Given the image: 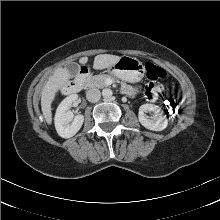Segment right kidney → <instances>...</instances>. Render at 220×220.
I'll return each mask as SVG.
<instances>
[{
	"mask_svg": "<svg viewBox=\"0 0 220 220\" xmlns=\"http://www.w3.org/2000/svg\"><path fill=\"white\" fill-rule=\"evenodd\" d=\"M78 99L77 94L66 97L58 106L55 114V128L62 138L73 137L81 128L84 116L78 114L74 117L70 107ZM72 122V123H70Z\"/></svg>",
	"mask_w": 220,
	"mask_h": 220,
	"instance_id": "1",
	"label": "right kidney"
}]
</instances>
